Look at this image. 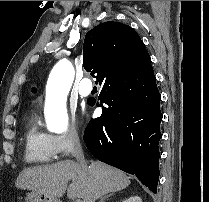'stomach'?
I'll list each match as a JSON object with an SVG mask.
<instances>
[{"label": "stomach", "mask_w": 209, "mask_h": 202, "mask_svg": "<svg viewBox=\"0 0 209 202\" xmlns=\"http://www.w3.org/2000/svg\"><path fill=\"white\" fill-rule=\"evenodd\" d=\"M25 202H60L58 198H52L37 191L26 194Z\"/></svg>", "instance_id": "1"}]
</instances>
